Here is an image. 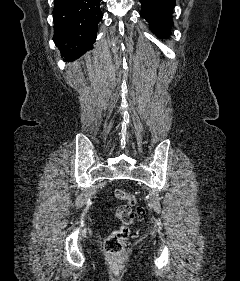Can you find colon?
Listing matches in <instances>:
<instances>
[{
    "label": "colon",
    "instance_id": "obj_1",
    "mask_svg": "<svg viewBox=\"0 0 240 281\" xmlns=\"http://www.w3.org/2000/svg\"><path fill=\"white\" fill-rule=\"evenodd\" d=\"M114 196L124 202L116 210V217L122 222V225L113 231L105 240L104 252L108 256H117L122 253L124 244L130 235L129 226L141 220L145 215L143 208L133 210V207L137 203L134 194L123 189H115Z\"/></svg>",
    "mask_w": 240,
    "mask_h": 281
}]
</instances>
